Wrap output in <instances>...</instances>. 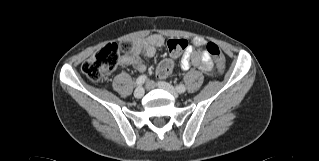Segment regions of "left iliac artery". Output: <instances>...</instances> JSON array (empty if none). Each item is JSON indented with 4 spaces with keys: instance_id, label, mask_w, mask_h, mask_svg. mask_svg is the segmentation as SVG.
Returning a JSON list of instances; mask_svg holds the SVG:
<instances>
[{
    "instance_id": "left-iliac-artery-1",
    "label": "left iliac artery",
    "mask_w": 319,
    "mask_h": 161,
    "mask_svg": "<svg viewBox=\"0 0 319 161\" xmlns=\"http://www.w3.org/2000/svg\"><path fill=\"white\" fill-rule=\"evenodd\" d=\"M176 90H177L179 93H183V92H185L186 87H185L184 85L180 84V85H177V86H176Z\"/></svg>"
}]
</instances>
